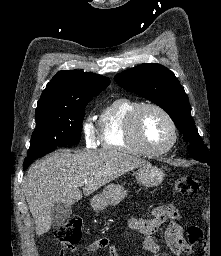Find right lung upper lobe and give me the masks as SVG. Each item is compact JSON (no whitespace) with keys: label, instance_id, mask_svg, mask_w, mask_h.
<instances>
[{"label":"right lung upper lobe","instance_id":"right-lung-upper-lobe-1","mask_svg":"<svg viewBox=\"0 0 221 256\" xmlns=\"http://www.w3.org/2000/svg\"><path fill=\"white\" fill-rule=\"evenodd\" d=\"M109 84L110 79L101 75L80 70L59 71L42 92L36 112L76 107L81 99H92Z\"/></svg>","mask_w":221,"mask_h":256}]
</instances>
